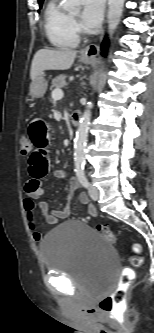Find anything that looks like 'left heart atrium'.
<instances>
[{
    "instance_id": "obj_1",
    "label": "left heart atrium",
    "mask_w": 154,
    "mask_h": 333,
    "mask_svg": "<svg viewBox=\"0 0 154 333\" xmlns=\"http://www.w3.org/2000/svg\"><path fill=\"white\" fill-rule=\"evenodd\" d=\"M82 23L87 28H96L103 17L105 0H83Z\"/></svg>"
}]
</instances>
